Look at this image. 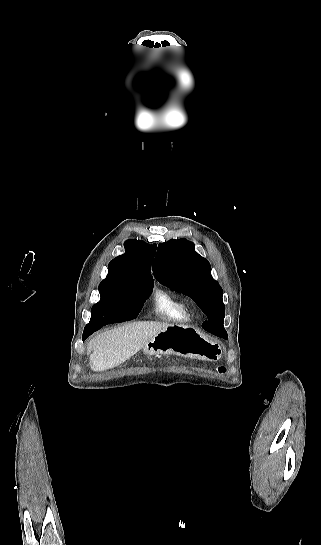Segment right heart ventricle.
Instances as JSON below:
<instances>
[{
	"label": "right heart ventricle",
	"instance_id": "obj_1",
	"mask_svg": "<svg viewBox=\"0 0 321 545\" xmlns=\"http://www.w3.org/2000/svg\"><path fill=\"white\" fill-rule=\"evenodd\" d=\"M152 303L155 314L166 322L186 325L192 320L189 303L166 290H156L153 294Z\"/></svg>",
	"mask_w": 321,
	"mask_h": 545
}]
</instances>
